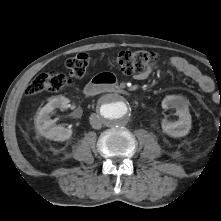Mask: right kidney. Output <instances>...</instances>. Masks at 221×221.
<instances>
[{"label": "right kidney", "mask_w": 221, "mask_h": 221, "mask_svg": "<svg viewBox=\"0 0 221 221\" xmlns=\"http://www.w3.org/2000/svg\"><path fill=\"white\" fill-rule=\"evenodd\" d=\"M69 100L62 96L51 98L50 101L41 108L35 118V128L37 132L47 139L54 141L68 140L72 135L70 128H64L61 125H56L55 121L50 118V113L56 109H64L67 107Z\"/></svg>", "instance_id": "1"}]
</instances>
